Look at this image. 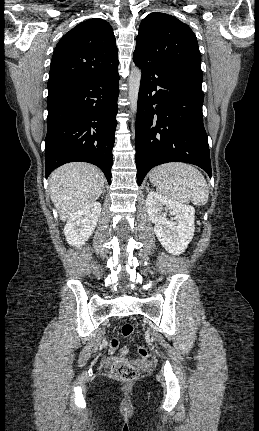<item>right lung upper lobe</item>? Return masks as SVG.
Segmentation results:
<instances>
[{
  "label": "right lung upper lobe",
  "instance_id": "cb5924a9",
  "mask_svg": "<svg viewBox=\"0 0 259 431\" xmlns=\"http://www.w3.org/2000/svg\"><path fill=\"white\" fill-rule=\"evenodd\" d=\"M118 50L110 24L94 18L66 33L54 50L48 88L112 74L118 69Z\"/></svg>",
  "mask_w": 259,
  "mask_h": 431
}]
</instances>
